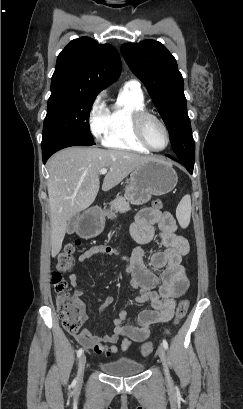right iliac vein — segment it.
Listing matches in <instances>:
<instances>
[{"label": "right iliac vein", "instance_id": "1", "mask_svg": "<svg viewBox=\"0 0 243 409\" xmlns=\"http://www.w3.org/2000/svg\"><path fill=\"white\" fill-rule=\"evenodd\" d=\"M85 364H86V356L82 355L79 359L78 362V371H77V379L78 381H81L83 378L84 370H85Z\"/></svg>", "mask_w": 243, "mask_h": 409}]
</instances>
